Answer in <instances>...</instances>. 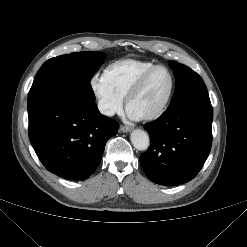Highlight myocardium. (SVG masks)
Returning a JSON list of instances; mask_svg holds the SVG:
<instances>
[{
  "label": "myocardium",
  "mask_w": 247,
  "mask_h": 247,
  "mask_svg": "<svg viewBox=\"0 0 247 247\" xmlns=\"http://www.w3.org/2000/svg\"><path fill=\"white\" fill-rule=\"evenodd\" d=\"M158 69H164L168 73L170 79L169 90L164 100L157 107H155L153 110L149 111L146 114L139 115V118L143 120H154L158 118L163 114V112L168 107L171 98L173 96L174 87H175L174 77L170 69L164 65H154L153 67H151L141 75V77L137 80V82L133 85V87L129 90L128 94L126 95V107L127 110L129 111L131 110L130 107L132 101L141 94L151 75Z\"/></svg>",
  "instance_id": "obj_1"
}]
</instances>
